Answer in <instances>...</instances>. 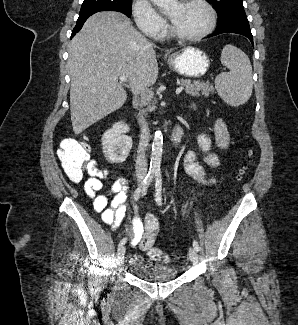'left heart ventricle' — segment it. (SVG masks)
<instances>
[{
    "mask_svg": "<svg viewBox=\"0 0 298 325\" xmlns=\"http://www.w3.org/2000/svg\"><path fill=\"white\" fill-rule=\"evenodd\" d=\"M162 9L169 15L173 29L183 35L198 33L207 22L204 10L192 0L163 1Z\"/></svg>",
    "mask_w": 298,
    "mask_h": 325,
    "instance_id": "1",
    "label": "left heart ventricle"
}]
</instances>
